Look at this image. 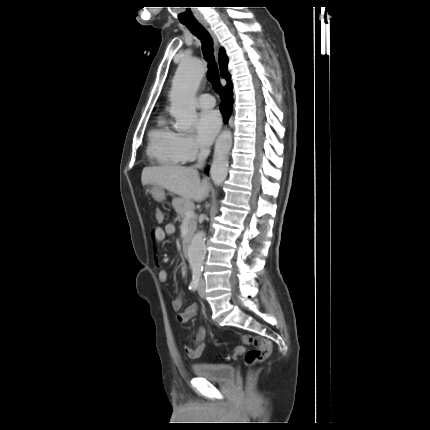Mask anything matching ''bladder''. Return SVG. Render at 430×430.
<instances>
[{
	"label": "bladder",
	"mask_w": 430,
	"mask_h": 430,
	"mask_svg": "<svg viewBox=\"0 0 430 430\" xmlns=\"http://www.w3.org/2000/svg\"><path fill=\"white\" fill-rule=\"evenodd\" d=\"M194 375L219 383L230 382L236 373V369L228 364L198 363L192 367Z\"/></svg>",
	"instance_id": "1"
}]
</instances>
